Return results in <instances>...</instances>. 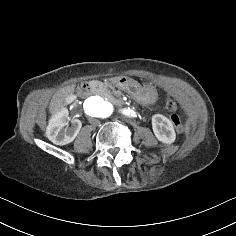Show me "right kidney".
Returning <instances> with one entry per match:
<instances>
[{
  "label": "right kidney",
  "mask_w": 236,
  "mask_h": 236,
  "mask_svg": "<svg viewBox=\"0 0 236 236\" xmlns=\"http://www.w3.org/2000/svg\"><path fill=\"white\" fill-rule=\"evenodd\" d=\"M74 99L73 96H70L69 100ZM67 122L64 121L63 117L54 115L50 120L46 129L47 138L56 145H66L71 143L76 136L78 135L82 123L79 119H72L71 125L66 126ZM66 126V127H65Z\"/></svg>",
  "instance_id": "1"
}]
</instances>
